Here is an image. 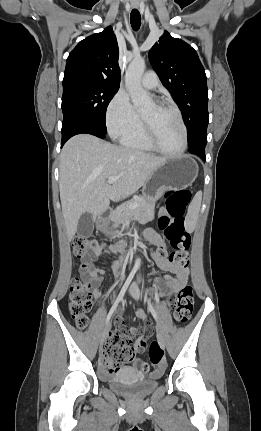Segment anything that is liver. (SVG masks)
<instances>
[{"label": "liver", "mask_w": 261, "mask_h": 431, "mask_svg": "<svg viewBox=\"0 0 261 431\" xmlns=\"http://www.w3.org/2000/svg\"><path fill=\"white\" fill-rule=\"evenodd\" d=\"M166 159L88 134L69 139L61 151L59 179L68 240L75 236L83 214L94 219L108 209L110 200L134 194ZM110 176L118 177L112 186L107 184Z\"/></svg>", "instance_id": "obj_1"}]
</instances>
